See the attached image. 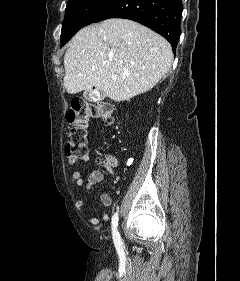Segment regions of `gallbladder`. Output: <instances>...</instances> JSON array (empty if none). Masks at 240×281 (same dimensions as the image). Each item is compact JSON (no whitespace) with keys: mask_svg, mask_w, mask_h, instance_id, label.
<instances>
[{"mask_svg":"<svg viewBox=\"0 0 240 281\" xmlns=\"http://www.w3.org/2000/svg\"><path fill=\"white\" fill-rule=\"evenodd\" d=\"M84 97L86 98V99H88V100H93V96H90L89 95V92L88 91H86L85 93H84ZM95 97H97V95H95ZM104 95L103 94H101V96L99 97V100H102V99H104Z\"/></svg>","mask_w":240,"mask_h":281,"instance_id":"1","label":"gallbladder"}]
</instances>
